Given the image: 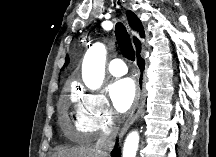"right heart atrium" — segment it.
Listing matches in <instances>:
<instances>
[{
	"label": "right heart atrium",
	"instance_id": "obj_1",
	"mask_svg": "<svg viewBox=\"0 0 216 157\" xmlns=\"http://www.w3.org/2000/svg\"><path fill=\"white\" fill-rule=\"evenodd\" d=\"M117 116L105 94L82 90L75 107L74 128L84 136H98L115 130Z\"/></svg>",
	"mask_w": 216,
	"mask_h": 157
}]
</instances>
